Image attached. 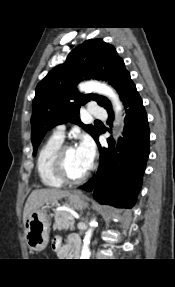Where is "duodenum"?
Returning a JSON list of instances; mask_svg holds the SVG:
<instances>
[{"instance_id":"duodenum-1","label":"duodenum","mask_w":175,"mask_h":287,"mask_svg":"<svg viewBox=\"0 0 175 287\" xmlns=\"http://www.w3.org/2000/svg\"><path fill=\"white\" fill-rule=\"evenodd\" d=\"M79 254V250L77 249L75 252V255L77 256Z\"/></svg>"}]
</instances>
